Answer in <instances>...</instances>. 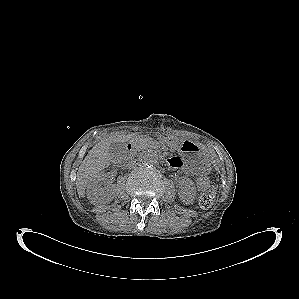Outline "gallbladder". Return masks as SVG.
<instances>
[{
    "instance_id": "1",
    "label": "gallbladder",
    "mask_w": 299,
    "mask_h": 299,
    "mask_svg": "<svg viewBox=\"0 0 299 299\" xmlns=\"http://www.w3.org/2000/svg\"><path fill=\"white\" fill-rule=\"evenodd\" d=\"M126 151V148H125V144L124 143H113L111 144L110 146V152L112 154H123L124 152Z\"/></svg>"
}]
</instances>
